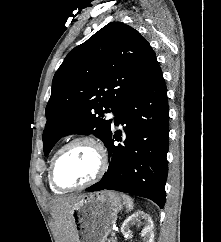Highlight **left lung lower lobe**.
I'll return each instance as SVG.
<instances>
[{"label":"left lung lower lobe","instance_id":"obj_1","mask_svg":"<svg viewBox=\"0 0 221 242\" xmlns=\"http://www.w3.org/2000/svg\"><path fill=\"white\" fill-rule=\"evenodd\" d=\"M104 142L110 164L103 178L86 191L116 190L165 204L169 144L167 90L159 67L150 80L121 106ZM115 141L121 144L114 145Z\"/></svg>","mask_w":221,"mask_h":242}]
</instances>
